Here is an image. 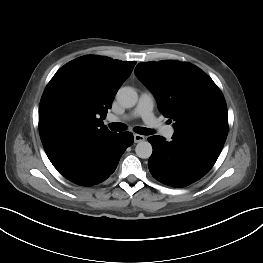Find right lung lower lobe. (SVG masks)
<instances>
[{"label": "right lung lower lobe", "mask_w": 263, "mask_h": 263, "mask_svg": "<svg viewBox=\"0 0 263 263\" xmlns=\"http://www.w3.org/2000/svg\"><path fill=\"white\" fill-rule=\"evenodd\" d=\"M133 143L130 132L107 133L75 139L49 153L53 166L68 180L82 186L105 181Z\"/></svg>", "instance_id": "1"}]
</instances>
